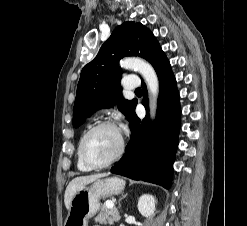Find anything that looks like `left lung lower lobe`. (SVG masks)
<instances>
[{"label":"left lung lower lobe","mask_w":247,"mask_h":226,"mask_svg":"<svg viewBox=\"0 0 247 226\" xmlns=\"http://www.w3.org/2000/svg\"><path fill=\"white\" fill-rule=\"evenodd\" d=\"M151 64L160 83L156 120L153 123L149 121L147 90L143 83V105L147 115L140 124L134 107L129 120L132 135L127 151L111 172L169 189L180 129L179 93L170 63L162 50Z\"/></svg>","instance_id":"0a47b994"}]
</instances>
